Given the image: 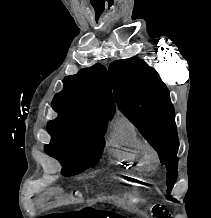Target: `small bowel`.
<instances>
[{
  "label": "small bowel",
  "mask_w": 211,
  "mask_h": 218,
  "mask_svg": "<svg viewBox=\"0 0 211 218\" xmlns=\"http://www.w3.org/2000/svg\"><path fill=\"white\" fill-rule=\"evenodd\" d=\"M62 194V190L59 188L56 189H49L45 192H43L37 199V202L39 204L44 203L47 199H49L50 197H56Z\"/></svg>",
  "instance_id": "obj_1"
}]
</instances>
